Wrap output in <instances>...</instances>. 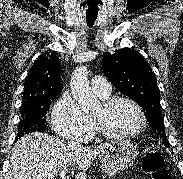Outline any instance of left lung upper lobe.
<instances>
[{
  "mask_svg": "<svg viewBox=\"0 0 183 179\" xmlns=\"http://www.w3.org/2000/svg\"><path fill=\"white\" fill-rule=\"evenodd\" d=\"M103 72L110 82L123 94L136 101L145 111L152 128L163 136L164 121L160 106V91L155 74L148 62L134 49L123 48L115 54H105Z\"/></svg>",
  "mask_w": 183,
  "mask_h": 179,
  "instance_id": "left-lung-upper-lobe-1",
  "label": "left lung upper lobe"
}]
</instances>
